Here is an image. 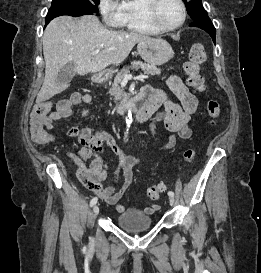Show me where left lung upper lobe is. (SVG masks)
Masks as SVG:
<instances>
[{
	"mask_svg": "<svg viewBox=\"0 0 261 273\" xmlns=\"http://www.w3.org/2000/svg\"><path fill=\"white\" fill-rule=\"evenodd\" d=\"M188 14L192 19H196L202 15L207 14L203 8L201 0H183Z\"/></svg>",
	"mask_w": 261,
	"mask_h": 273,
	"instance_id": "5c2ea615",
	"label": "left lung upper lobe"
}]
</instances>
